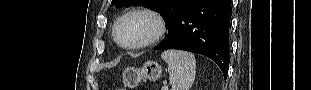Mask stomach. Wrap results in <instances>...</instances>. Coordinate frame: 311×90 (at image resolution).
Wrapping results in <instances>:
<instances>
[{"label":"stomach","mask_w":311,"mask_h":90,"mask_svg":"<svg viewBox=\"0 0 311 90\" xmlns=\"http://www.w3.org/2000/svg\"><path fill=\"white\" fill-rule=\"evenodd\" d=\"M162 68L154 61H147L141 69L127 68L123 73V83L125 86L135 88L139 85L142 79H149L152 81L161 77Z\"/></svg>","instance_id":"1"}]
</instances>
